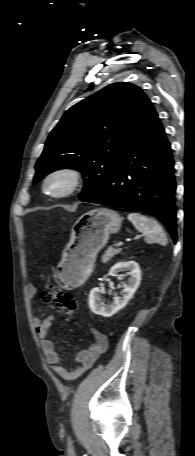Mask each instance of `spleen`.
Returning a JSON list of instances; mask_svg holds the SVG:
<instances>
[{"mask_svg": "<svg viewBox=\"0 0 195 456\" xmlns=\"http://www.w3.org/2000/svg\"><path fill=\"white\" fill-rule=\"evenodd\" d=\"M128 219L139 232L143 233L147 241H156L162 245H166V234L155 219L139 213L128 214Z\"/></svg>", "mask_w": 195, "mask_h": 456, "instance_id": "3e777b00", "label": "spleen"}]
</instances>
